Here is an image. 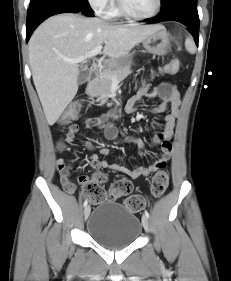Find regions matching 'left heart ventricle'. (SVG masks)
Segmentation results:
<instances>
[{"mask_svg": "<svg viewBox=\"0 0 231 281\" xmlns=\"http://www.w3.org/2000/svg\"><path fill=\"white\" fill-rule=\"evenodd\" d=\"M128 10L137 15L150 14L156 6V0H123Z\"/></svg>", "mask_w": 231, "mask_h": 281, "instance_id": "1", "label": "left heart ventricle"}]
</instances>
